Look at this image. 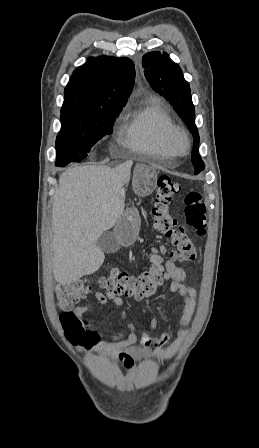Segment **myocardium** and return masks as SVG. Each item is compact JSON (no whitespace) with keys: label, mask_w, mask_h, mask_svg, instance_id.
I'll return each mask as SVG.
<instances>
[{"label":"myocardium","mask_w":259,"mask_h":448,"mask_svg":"<svg viewBox=\"0 0 259 448\" xmlns=\"http://www.w3.org/2000/svg\"><path fill=\"white\" fill-rule=\"evenodd\" d=\"M182 141V146H178L177 141ZM164 142L166 150L160 151L157 157H150L146 153H141L140 158L146 163H170L172 162V155L178 151H182V157L186 158L191 154V140L188 132L177 125L169 127L164 135Z\"/></svg>","instance_id":"f54148a6"}]
</instances>
